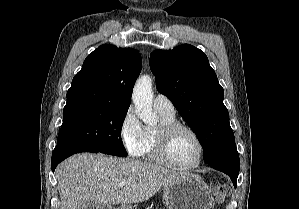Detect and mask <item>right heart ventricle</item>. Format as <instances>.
I'll return each mask as SVG.
<instances>
[{
	"mask_svg": "<svg viewBox=\"0 0 299 209\" xmlns=\"http://www.w3.org/2000/svg\"><path fill=\"white\" fill-rule=\"evenodd\" d=\"M158 112V111H157ZM159 113L161 124H168L176 122L175 115H165L163 113ZM154 131L151 128L146 127L144 129L145 139L144 144L141 150L140 156H145L146 158L154 161H158L154 154ZM159 162V161H158Z\"/></svg>",
	"mask_w": 299,
	"mask_h": 209,
	"instance_id": "e07e8e85",
	"label": "right heart ventricle"
}]
</instances>
